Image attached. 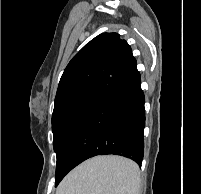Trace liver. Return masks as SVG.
Segmentation results:
<instances>
[{"label":"liver","mask_w":201,"mask_h":194,"mask_svg":"<svg viewBox=\"0 0 201 194\" xmlns=\"http://www.w3.org/2000/svg\"><path fill=\"white\" fill-rule=\"evenodd\" d=\"M140 171L130 159L106 155L91 158L61 181L56 194H139Z\"/></svg>","instance_id":"6515ba94"}]
</instances>
